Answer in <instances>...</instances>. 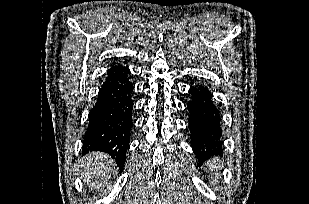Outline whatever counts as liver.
Masks as SVG:
<instances>
[{
  "label": "liver",
  "instance_id": "6515ba94",
  "mask_svg": "<svg viewBox=\"0 0 309 204\" xmlns=\"http://www.w3.org/2000/svg\"><path fill=\"white\" fill-rule=\"evenodd\" d=\"M114 172L115 161L107 154L93 152L82 159L81 176L91 190H102Z\"/></svg>",
  "mask_w": 309,
  "mask_h": 204
}]
</instances>
